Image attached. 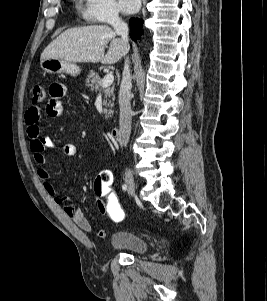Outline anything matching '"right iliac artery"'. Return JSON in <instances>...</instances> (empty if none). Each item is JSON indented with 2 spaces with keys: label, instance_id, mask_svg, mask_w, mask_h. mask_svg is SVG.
Masks as SVG:
<instances>
[{
  "label": "right iliac artery",
  "instance_id": "1",
  "mask_svg": "<svg viewBox=\"0 0 267 301\" xmlns=\"http://www.w3.org/2000/svg\"><path fill=\"white\" fill-rule=\"evenodd\" d=\"M122 189H123L124 191H126V190H127V185L124 184V185L122 186Z\"/></svg>",
  "mask_w": 267,
  "mask_h": 301
}]
</instances>
